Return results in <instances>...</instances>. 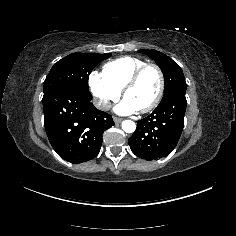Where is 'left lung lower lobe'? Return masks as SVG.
Segmentation results:
<instances>
[{"label":"left lung lower lobe","mask_w":236,"mask_h":236,"mask_svg":"<svg viewBox=\"0 0 236 236\" xmlns=\"http://www.w3.org/2000/svg\"><path fill=\"white\" fill-rule=\"evenodd\" d=\"M186 91H175L162 99L146 118L137 121V129L128 139L133 153L145 160H157L176 147L184 127Z\"/></svg>","instance_id":"left-lung-lower-lobe-1"}]
</instances>
